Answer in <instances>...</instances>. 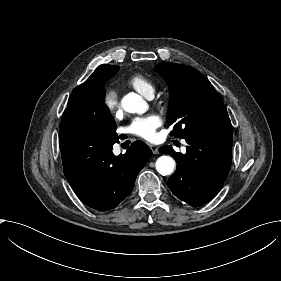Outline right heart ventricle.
I'll list each match as a JSON object with an SVG mask.
<instances>
[{"label": "right heart ventricle", "mask_w": 281, "mask_h": 281, "mask_svg": "<svg viewBox=\"0 0 281 281\" xmlns=\"http://www.w3.org/2000/svg\"><path fill=\"white\" fill-rule=\"evenodd\" d=\"M123 85L138 92L140 95L148 98L153 96L154 87L152 83L141 74H133L124 80Z\"/></svg>", "instance_id": "right-heart-ventricle-1"}]
</instances>
